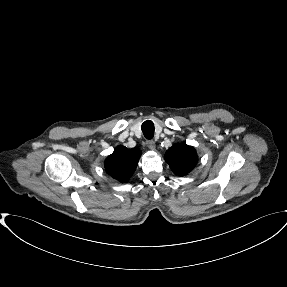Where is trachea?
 <instances>
[{
	"label": "trachea",
	"mask_w": 287,
	"mask_h": 287,
	"mask_svg": "<svg viewBox=\"0 0 287 287\" xmlns=\"http://www.w3.org/2000/svg\"><path fill=\"white\" fill-rule=\"evenodd\" d=\"M142 132L147 139H152L154 136V124L152 121L147 120L141 126Z\"/></svg>",
	"instance_id": "1"
}]
</instances>
